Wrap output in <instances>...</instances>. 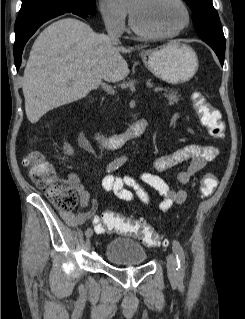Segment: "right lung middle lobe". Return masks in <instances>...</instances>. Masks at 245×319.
<instances>
[{"label":"right lung middle lobe","mask_w":245,"mask_h":319,"mask_svg":"<svg viewBox=\"0 0 245 319\" xmlns=\"http://www.w3.org/2000/svg\"><path fill=\"white\" fill-rule=\"evenodd\" d=\"M96 0H22L18 17L51 8H66L91 15L95 11Z\"/></svg>","instance_id":"right-lung-middle-lobe-1"}]
</instances>
